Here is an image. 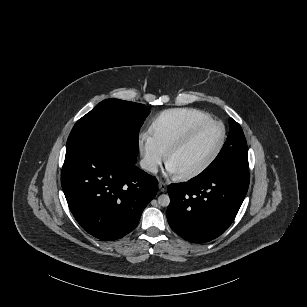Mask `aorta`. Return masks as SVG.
<instances>
[{"label": "aorta", "mask_w": 307, "mask_h": 307, "mask_svg": "<svg viewBox=\"0 0 307 307\" xmlns=\"http://www.w3.org/2000/svg\"><path fill=\"white\" fill-rule=\"evenodd\" d=\"M169 203H170V198L168 195L162 194L158 197V204L160 206L166 207L169 205Z\"/></svg>", "instance_id": "aorta-1"}]
</instances>
